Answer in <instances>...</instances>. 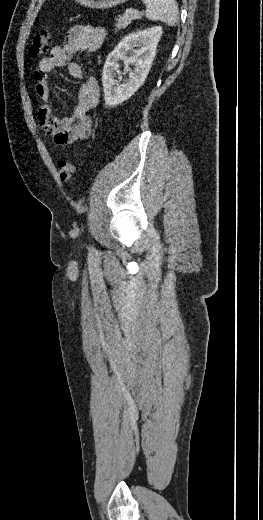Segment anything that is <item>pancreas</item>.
Listing matches in <instances>:
<instances>
[{"label":"pancreas","mask_w":263,"mask_h":520,"mask_svg":"<svg viewBox=\"0 0 263 520\" xmlns=\"http://www.w3.org/2000/svg\"><path fill=\"white\" fill-rule=\"evenodd\" d=\"M142 14L131 9L127 10L122 16L116 18L115 29L119 31L126 28L134 19H141Z\"/></svg>","instance_id":"pancreas-1"}]
</instances>
